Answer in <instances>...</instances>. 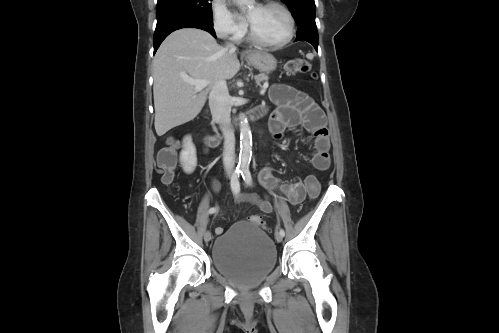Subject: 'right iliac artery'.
<instances>
[{"mask_svg": "<svg viewBox=\"0 0 499 333\" xmlns=\"http://www.w3.org/2000/svg\"><path fill=\"white\" fill-rule=\"evenodd\" d=\"M242 172L241 168H236L231 177V189L234 195H238L240 192L239 176ZM217 211V208L212 207L209 209V214H213Z\"/></svg>", "mask_w": 499, "mask_h": 333, "instance_id": "obj_1", "label": "right iliac artery"}]
</instances>
